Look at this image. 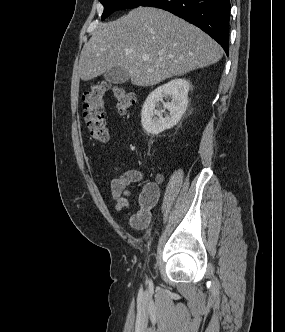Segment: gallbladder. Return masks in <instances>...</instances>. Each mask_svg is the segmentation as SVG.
Here are the masks:
<instances>
[{
  "instance_id": "obj_1",
  "label": "gallbladder",
  "mask_w": 285,
  "mask_h": 332,
  "mask_svg": "<svg viewBox=\"0 0 285 332\" xmlns=\"http://www.w3.org/2000/svg\"><path fill=\"white\" fill-rule=\"evenodd\" d=\"M129 78L128 71L121 67H114L104 74V79L113 84H123L127 82Z\"/></svg>"
}]
</instances>
